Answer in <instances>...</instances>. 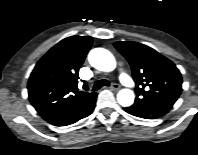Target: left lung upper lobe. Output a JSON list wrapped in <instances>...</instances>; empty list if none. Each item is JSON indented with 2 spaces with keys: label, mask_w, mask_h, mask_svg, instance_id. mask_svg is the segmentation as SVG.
I'll return each instance as SVG.
<instances>
[{
  "label": "left lung upper lobe",
  "mask_w": 198,
  "mask_h": 155,
  "mask_svg": "<svg viewBox=\"0 0 198 155\" xmlns=\"http://www.w3.org/2000/svg\"><path fill=\"white\" fill-rule=\"evenodd\" d=\"M114 45L132 67L137 93L134 104L172 108L182 91L181 73L174 63L144 44L115 42Z\"/></svg>",
  "instance_id": "1"
}]
</instances>
